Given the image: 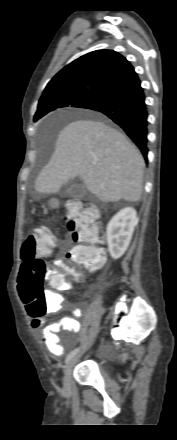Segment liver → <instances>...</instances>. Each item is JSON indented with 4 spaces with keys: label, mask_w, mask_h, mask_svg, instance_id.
Listing matches in <instances>:
<instances>
[{
    "label": "liver",
    "mask_w": 177,
    "mask_h": 440,
    "mask_svg": "<svg viewBox=\"0 0 177 440\" xmlns=\"http://www.w3.org/2000/svg\"><path fill=\"white\" fill-rule=\"evenodd\" d=\"M144 167L143 157L125 135L101 121L80 119L60 131L35 189L42 194L57 193L79 176L103 202H136L143 190Z\"/></svg>",
    "instance_id": "obj_1"
}]
</instances>
